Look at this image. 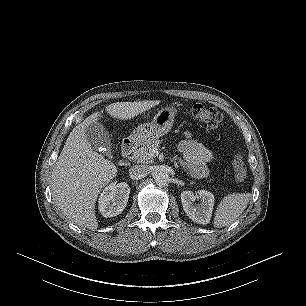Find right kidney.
Instances as JSON below:
<instances>
[{"label":"right kidney","mask_w":306,"mask_h":306,"mask_svg":"<svg viewBox=\"0 0 306 306\" xmlns=\"http://www.w3.org/2000/svg\"><path fill=\"white\" fill-rule=\"evenodd\" d=\"M130 194L127 183H111L105 187L99 197V211L102 216L114 217L120 214L126 207Z\"/></svg>","instance_id":"obj_1"}]
</instances>
